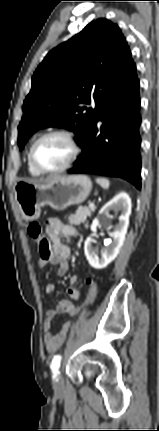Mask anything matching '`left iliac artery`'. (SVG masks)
Listing matches in <instances>:
<instances>
[{"label":"left iliac artery","mask_w":159,"mask_h":431,"mask_svg":"<svg viewBox=\"0 0 159 431\" xmlns=\"http://www.w3.org/2000/svg\"><path fill=\"white\" fill-rule=\"evenodd\" d=\"M60 363H61V356L60 355H56L53 358L52 363H51V369H52V372L54 374H56L58 372V369L60 367Z\"/></svg>","instance_id":"obj_1"}]
</instances>
